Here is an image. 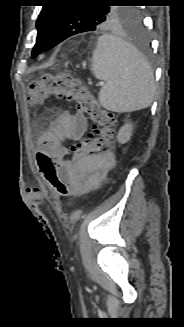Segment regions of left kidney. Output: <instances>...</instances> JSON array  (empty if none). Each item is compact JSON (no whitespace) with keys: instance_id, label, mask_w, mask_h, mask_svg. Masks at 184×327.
<instances>
[{"instance_id":"1","label":"left kidney","mask_w":184,"mask_h":327,"mask_svg":"<svg viewBox=\"0 0 184 327\" xmlns=\"http://www.w3.org/2000/svg\"><path fill=\"white\" fill-rule=\"evenodd\" d=\"M132 129L131 123H126L123 125L117 134L118 142L121 144L127 143L132 135Z\"/></svg>"}]
</instances>
